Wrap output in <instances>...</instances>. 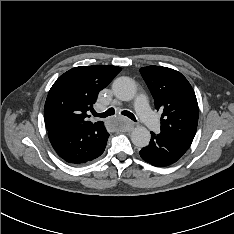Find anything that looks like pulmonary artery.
Segmentation results:
<instances>
[{"label":"pulmonary artery","instance_id":"obj_1","mask_svg":"<svg viewBox=\"0 0 234 234\" xmlns=\"http://www.w3.org/2000/svg\"><path fill=\"white\" fill-rule=\"evenodd\" d=\"M135 107L147 129L153 130L159 126L157 119L148 106L145 95H140L137 97Z\"/></svg>","mask_w":234,"mask_h":234}]
</instances>
